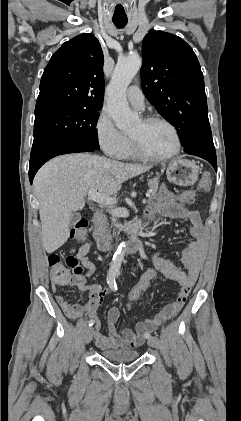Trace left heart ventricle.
<instances>
[{"mask_svg":"<svg viewBox=\"0 0 241 421\" xmlns=\"http://www.w3.org/2000/svg\"><path fill=\"white\" fill-rule=\"evenodd\" d=\"M129 134L136 137L142 147L154 156L166 155L175 147L173 132L162 123L144 124L141 120Z\"/></svg>","mask_w":241,"mask_h":421,"instance_id":"b2bd125f","label":"left heart ventricle"}]
</instances>
